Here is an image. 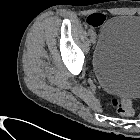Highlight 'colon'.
Masks as SVG:
<instances>
[{
	"mask_svg": "<svg viewBox=\"0 0 140 140\" xmlns=\"http://www.w3.org/2000/svg\"><path fill=\"white\" fill-rule=\"evenodd\" d=\"M111 107L120 115L131 116L134 113L133 104L128 99L114 97L110 101Z\"/></svg>",
	"mask_w": 140,
	"mask_h": 140,
	"instance_id": "1",
	"label": "colon"
}]
</instances>
